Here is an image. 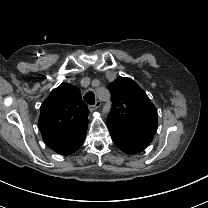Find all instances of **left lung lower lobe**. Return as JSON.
<instances>
[{
    "label": "left lung lower lobe",
    "instance_id": "obj_1",
    "mask_svg": "<svg viewBox=\"0 0 208 208\" xmlns=\"http://www.w3.org/2000/svg\"><path fill=\"white\" fill-rule=\"evenodd\" d=\"M107 126L113 142L126 154L134 155L142 152L150 144L148 139L136 129L125 127L110 121Z\"/></svg>",
    "mask_w": 208,
    "mask_h": 208
}]
</instances>
